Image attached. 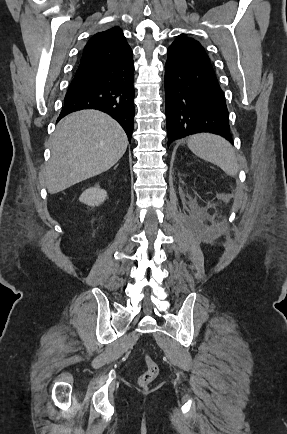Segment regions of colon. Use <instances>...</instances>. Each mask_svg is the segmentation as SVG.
Wrapping results in <instances>:
<instances>
[{
	"label": "colon",
	"mask_w": 287,
	"mask_h": 434,
	"mask_svg": "<svg viewBox=\"0 0 287 434\" xmlns=\"http://www.w3.org/2000/svg\"><path fill=\"white\" fill-rule=\"evenodd\" d=\"M146 371L139 377V385L141 387H148L157 377L159 368L157 363L150 357H146Z\"/></svg>",
	"instance_id": "1"
}]
</instances>
